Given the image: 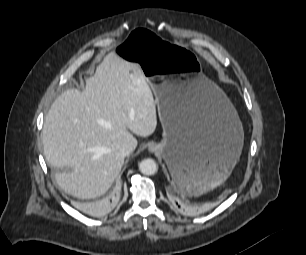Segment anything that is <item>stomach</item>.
Wrapping results in <instances>:
<instances>
[{"instance_id":"1","label":"stomach","mask_w":306,"mask_h":255,"mask_svg":"<svg viewBox=\"0 0 306 255\" xmlns=\"http://www.w3.org/2000/svg\"><path fill=\"white\" fill-rule=\"evenodd\" d=\"M116 54L140 66L155 95L163 139L153 150L176 185L199 194L223 183L239 160L244 132L224 92L202 73L198 57L150 29L133 30Z\"/></svg>"}]
</instances>
